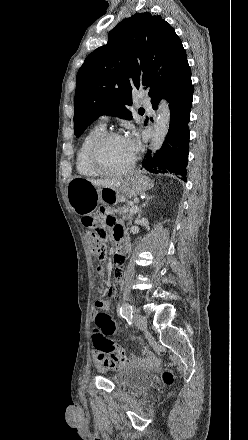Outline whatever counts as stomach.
I'll list each match as a JSON object with an SVG mask.
<instances>
[{
    "label": "stomach",
    "instance_id": "stomach-1",
    "mask_svg": "<svg viewBox=\"0 0 248 440\" xmlns=\"http://www.w3.org/2000/svg\"><path fill=\"white\" fill-rule=\"evenodd\" d=\"M151 183L141 175H131L119 185L97 187L89 180L72 178L67 184V196L76 213L83 214L93 210L98 203L115 205L124 198H133L150 189Z\"/></svg>",
    "mask_w": 248,
    "mask_h": 440
}]
</instances>
